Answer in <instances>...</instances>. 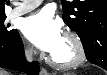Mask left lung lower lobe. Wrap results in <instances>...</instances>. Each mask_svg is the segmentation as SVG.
Here are the masks:
<instances>
[{
	"mask_svg": "<svg viewBox=\"0 0 107 75\" xmlns=\"http://www.w3.org/2000/svg\"><path fill=\"white\" fill-rule=\"evenodd\" d=\"M87 59L104 69L107 70V44L102 41L96 46L94 52L87 56Z\"/></svg>",
	"mask_w": 107,
	"mask_h": 75,
	"instance_id": "0a47b994",
	"label": "left lung lower lobe"
}]
</instances>
